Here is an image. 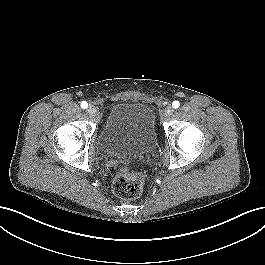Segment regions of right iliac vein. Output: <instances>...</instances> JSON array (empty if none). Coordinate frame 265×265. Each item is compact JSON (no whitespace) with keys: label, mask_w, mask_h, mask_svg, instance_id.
I'll return each mask as SVG.
<instances>
[{"label":"right iliac vein","mask_w":265,"mask_h":265,"mask_svg":"<svg viewBox=\"0 0 265 265\" xmlns=\"http://www.w3.org/2000/svg\"><path fill=\"white\" fill-rule=\"evenodd\" d=\"M87 113L89 116L91 117H95L96 114H97V110L96 108L93 106V105H90L88 108H87Z\"/></svg>","instance_id":"63e3f726"}]
</instances>
